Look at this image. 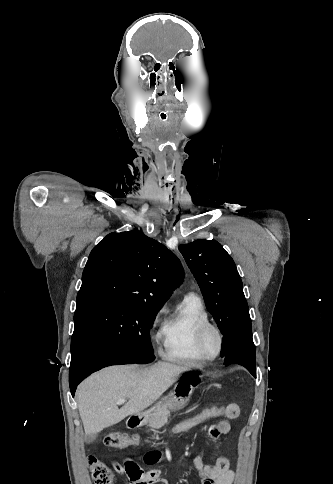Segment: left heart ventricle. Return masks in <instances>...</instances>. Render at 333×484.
I'll return each instance as SVG.
<instances>
[{"instance_id": "left-heart-ventricle-1", "label": "left heart ventricle", "mask_w": 333, "mask_h": 484, "mask_svg": "<svg viewBox=\"0 0 333 484\" xmlns=\"http://www.w3.org/2000/svg\"><path fill=\"white\" fill-rule=\"evenodd\" d=\"M205 348L206 351L210 354L213 355L216 350H217V338L213 333H210L205 342Z\"/></svg>"}]
</instances>
